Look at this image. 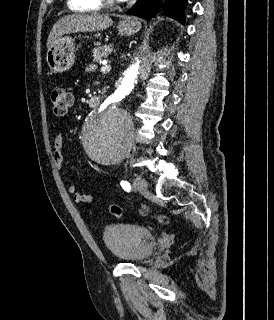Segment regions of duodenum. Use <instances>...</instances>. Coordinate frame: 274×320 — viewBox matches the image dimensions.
Returning a JSON list of instances; mask_svg holds the SVG:
<instances>
[{
	"mask_svg": "<svg viewBox=\"0 0 274 320\" xmlns=\"http://www.w3.org/2000/svg\"><path fill=\"white\" fill-rule=\"evenodd\" d=\"M100 97L98 96H91L89 99V105L91 107H97L100 104Z\"/></svg>",
	"mask_w": 274,
	"mask_h": 320,
	"instance_id": "duodenum-1",
	"label": "duodenum"
}]
</instances>
